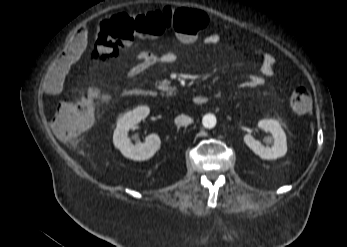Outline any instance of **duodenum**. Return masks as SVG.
<instances>
[{
	"label": "duodenum",
	"mask_w": 347,
	"mask_h": 247,
	"mask_svg": "<svg viewBox=\"0 0 347 247\" xmlns=\"http://www.w3.org/2000/svg\"><path fill=\"white\" fill-rule=\"evenodd\" d=\"M128 95L142 96V97H155V92L148 89L133 88L128 90ZM208 102V97L205 95H196L192 99V103L195 105H204Z\"/></svg>",
	"instance_id": "obj_1"
}]
</instances>
